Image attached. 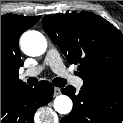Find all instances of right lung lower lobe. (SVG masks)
I'll list each match as a JSON object with an SVG mask.
<instances>
[{
    "mask_svg": "<svg viewBox=\"0 0 123 123\" xmlns=\"http://www.w3.org/2000/svg\"><path fill=\"white\" fill-rule=\"evenodd\" d=\"M54 87L48 81L38 86L1 91V123H33L36 110L53 98Z\"/></svg>",
    "mask_w": 123,
    "mask_h": 123,
    "instance_id": "1",
    "label": "right lung lower lobe"
}]
</instances>
